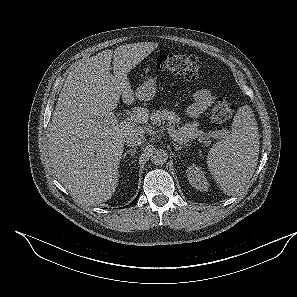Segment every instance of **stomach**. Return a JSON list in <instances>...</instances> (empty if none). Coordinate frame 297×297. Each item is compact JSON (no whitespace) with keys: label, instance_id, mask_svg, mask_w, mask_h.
<instances>
[{"label":"stomach","instance_id":"stomach-1","mask_svg":"<svg viewBox=\"0 0 297 297\" xmlns=\"http://www.w3.org/2000/svg\"><path fill=\"white\" fill-rule=\"evenodd\" d=\"M156 81L155 78H148L136 90L135 96L141 101H148L155 96Z\"/></svg>","mask_w":297,"mask_h":297}]
</instances>
